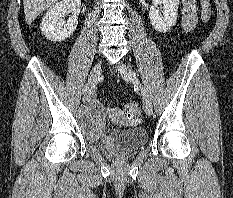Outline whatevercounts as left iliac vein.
Segmentation results:
<instances>
[{"label": "left iliac vein", "mask_w": 233, "mask_h": 198, "mask_svg": "<svg viewBox=\"0 0 233 198\" xmlns=\"http://www.w3.org/2000/svg\"><path fill=\"white\" fill-rule=\"evenodd\" d=\"M117 69L125 81L131 82V83H137L136 74L128 65L120 62L117 65ZM140 90H141L142 99H143L144 111L147 115L150 116L153 112V105H152L151 98L147 90L143 86H140Z\"/></svg>", "instance_id": "1"}]
</instances>
